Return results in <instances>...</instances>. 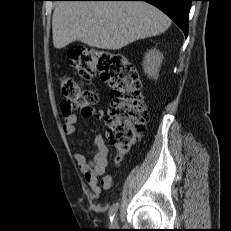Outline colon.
Returning a JSON list of instances; mask_svg holds the SVG:
<instances>
[{"label": "colon", "mask_w": 231, "mask_h": 231, "mask_svg": "<svg viewBox=\"0 0 231 231\" xmlns=\"http://www.w3.org/2000/svg\"><path fill=\"white\" fill-rule=\"evenodd\" d=\"M68 60L81 78L90 80L99 74L109 85L112 98L107 115L109 141L120 154L127 153L149 120L137 71L124 54L106 49H72ZM60 87L65 115L73 110H89L98 102L95 91L83 88L70 77H62Z\"/></svg>", "instance_id": "5ec220e1"}]
</instances>
